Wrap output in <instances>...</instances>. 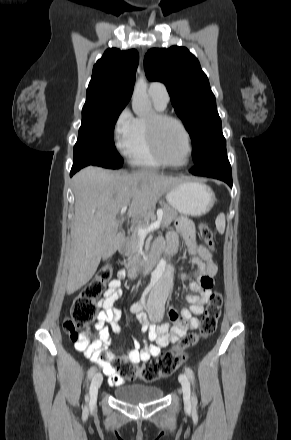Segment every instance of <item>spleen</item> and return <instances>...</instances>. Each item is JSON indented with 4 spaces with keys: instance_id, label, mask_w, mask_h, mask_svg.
Wrapping results in <instances>:
<instances>
[{
    "instance_id": "obj_1",
    "label": "spleen",
    "mask_w": 291,
    "mask_h": 440,
    "mask_svg": "<svg viewBox=\"0 0 291 440\" xmlns=\"http://www.w3.org/2000/svg\"><path fill=\"white\" fill-rule=\"evenodd\" d=\"M216 228L220 234H223L225 231V215L224 213H220L215 221Z\"/></svg>"
}]
</instances>
